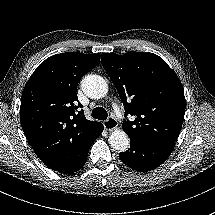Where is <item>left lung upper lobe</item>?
<instances>
[{
    "label": "left lung upper lobe",
    "instance_id": "obj_1",
    "mask_svg": "<svg viewBox=\"0 0 215 215\" xmlns=\"http://www.w3.org/2000/svg\"><path fill=\"white\" fill-rule=\"evenodd\" d=\"M101 62L125 107L122 128L131 140L175 142L184 114L185 96L175 72L158 55L128 52L103 53Z\"/></svg>",
    "mask_w": 215,
    "mask_h": 215
}]
</instances>
